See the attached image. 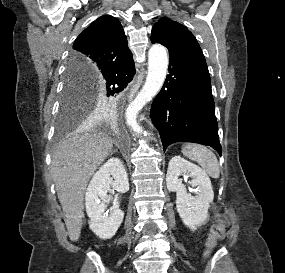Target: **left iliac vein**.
Returning a JSON list of instances; mask_svg holds the SVG:
<instances>
[{"instance_id": "4c4485c4", "label": "left iliac vein", "mask_w": 285, "mask_h": 273, "mask_svg": "<svg viewBox=\"0 0 285 273\" xmlns=\"http://www.w3.org/2000/svg\"><path fill=\"white\" fill-rule=\"evenodd\" d=\"M173 273H179L178 271H174Z\"/></svg>"}]
</instances>
